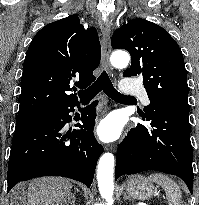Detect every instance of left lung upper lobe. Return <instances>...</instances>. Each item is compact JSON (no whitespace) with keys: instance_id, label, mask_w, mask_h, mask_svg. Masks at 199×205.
<instances>
[{"instance_id":"1","label":"left lung upper lobe","mask_w":199,"mask_h":205,"mask_svg":"<svg viewBox=\"0 0 199 205\" xmlns=\"http://www.w3.org/2000/svg\"><path fill=\"white\" fill-rule=\"evenodd\" d=\"M111 44L113 49L130 53L132 63L123 76H141L151 103L189 112L183 55L164 28L142 18L133 19L113 33ZM141 116L147 118V114Z\"/></svg>"}]
</instances>
